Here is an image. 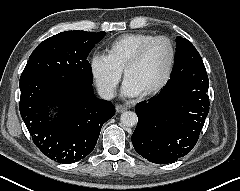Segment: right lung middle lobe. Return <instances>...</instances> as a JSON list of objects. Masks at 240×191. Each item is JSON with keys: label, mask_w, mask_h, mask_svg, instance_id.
I'll list each match as a JSON object with an SVG mask.
<instances>
[{"label": "right lung middle lobe", "mask_w": 240, "mask_h": 191, "mask_svg": "<svg viewBox=\"0 0 240 191\" xmlns=\"http://www.w3.org/2000/svg\"><path fill=\"white\" fill-rule=\"evenodd\" d=\"M106 32L65 31L41 42L32 52L21 76L54 74L92 84L88 54Z\"/></svg>", "instance_id": "right-lung-middle-lobe-1"}]
</instances>
